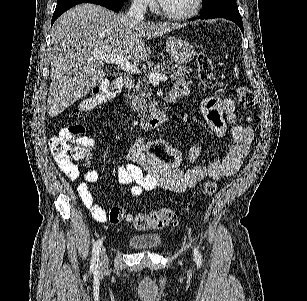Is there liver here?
Here are the masks:
<instances>
[{"label": "liver", "mask_w": 307, "mask_h": 301, "mask_svg": "<svg viewBox=\"0 0 307 301\" xmlns=\"http://www.w3.org/2000/svg\"><path fill=\"white\" fill-rule=\"evenodd\" d=\"M182 26L180 22H134L128 14L90 2L66 10L50 32L49 116H58L103 80V60L96 54H122L131 62H143L151 52L144 38H157Z\"/></svg>", "instance_id": "obj_1"}]
</instances>
